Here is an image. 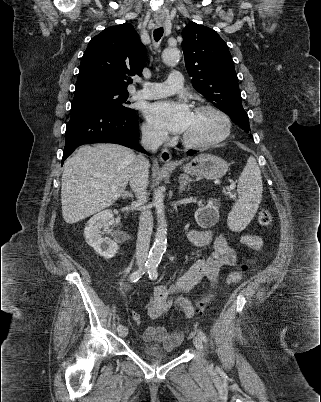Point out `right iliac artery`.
I'll use <instances>...</instances> for the list:
<instances>
[{
	"label": "right iliac artery",
	"mask_w": 321,
	"mask_h": 402,
	"mask_svg": "<svg viewBox=\"0 0 321 402\" xmlns=\"http://www.w3.org/2000/svg\"><path fill=\"white\" fill-rule=\"evenodd\" d=\"M150 267H151L150 264H145V266H144L143 268H141V269H139V270L133 272V273L130 275V280H131V282H136V281H138V280L141 278V276H142L147 270L150 269ZM122 328H123V326H122V325H119V326L117 327V331L120 332V331L122 330Z\"/></svg>",
	"instance_id": "obj_1"
}]
</instances>
